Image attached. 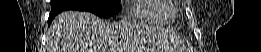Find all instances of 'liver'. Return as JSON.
I'll return each instance as SVG.
<instances>
[{"label": "liver", "mask_w": 261, "mask_h": 52, "mask_svg": "<svg viewBox=\"0 0 261 52\" xmlns=\"http://www.w3.org/2000/svg\"><path fill=\"white\" fill-rule=\"evenodd\" d=\"M133 28L106 23L89 12L65 11L51 24L47 52H130Z\"/></svg>", "instance_id": "liver-1"}]
</instances>
